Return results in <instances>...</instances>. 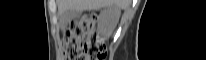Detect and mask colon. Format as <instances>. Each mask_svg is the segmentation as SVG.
<instances>
[{"label":"colon","instance_id":"5ec220e1","mask_svg":"<svg viewBox=\"0 0 206 60\" xmlns=\"http://www.w3.org/2000/svg\"><path fill=\"white\" fill-rule=\"evenodd\" d=\"M95 15H86L70 24L63 38L66 60H102L106 49L95 30Z\"/></svg>","mask_w":206,"mask_h":60}]
</instances>
